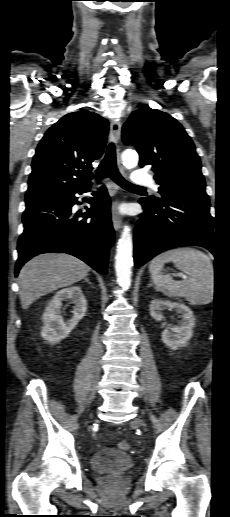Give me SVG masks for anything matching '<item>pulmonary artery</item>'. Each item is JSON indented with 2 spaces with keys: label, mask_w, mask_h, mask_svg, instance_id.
Masks as SVG:
<instances>
[{
  "label": "pulmonary artery",
  "mask_w": 230,
  "mask_h": 517,
  "mask_svg": "<svg viewBox=\"0 0 230 517\" xmlns=\"http://www.w3.org/2000/svg\"><path fill=\"white\" fill-rule=\"evenodd\" d=\"M132 184L135 185H151L155 189L157 188V185L155 184L152 176L148 173H146L142 169L134 170L132 173Z\"/></svg>",
  "instance_id": "pulmonary-artery-1"
}]
</instances>
